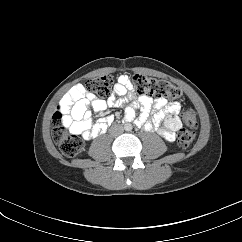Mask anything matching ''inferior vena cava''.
Segmentation results:
<instances>
[{
    "label": "inferior vena cava",
    "mask_w": 242,
    "mask_h": 242,
    "mask_svg": "<svg viewBox=\"0 0 242 242\" xmlns=\"http://www.w3.org/2000/svg\"><path fill=\"white\" fill-rule=\"evenodd\" d=\"M124 129L121 125H115L114 127L111 128V133L114 135H119L123 133Z\"/></svg>",
    "instance_id": "inferior-vena-cava-1"
}]
</instances>
